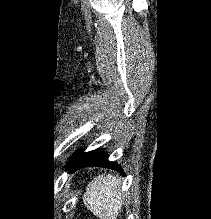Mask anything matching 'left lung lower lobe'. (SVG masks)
I'll return each mask as SVG.
<instances>
[{
	"label": "left lung lower lobe",
	"instance_id": "left-lung-lower-lobe-1",
	"mask_svg": "<svg viewBox=\"0 0 211 219\" xmlns=\"http://www.w3.org/2000/svg\"><path fill=\"white\" fill-rule=\"evenodd\" d=\"M74 156V158L69 160L66 167L69 172H74L85 166H104L107 168L118 170L120 173L123 174V172L121 171V166L116 164L115 162L108 161V156L103 150L96 149L88 153H84L81 149L78 150L74 154Z\"/></svg>",
	"mask_w": 211,
	"mask_h": 219
}]
</instances>
